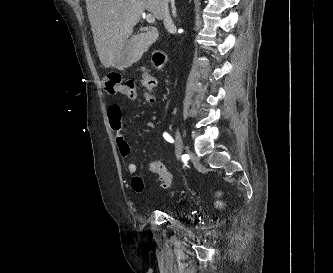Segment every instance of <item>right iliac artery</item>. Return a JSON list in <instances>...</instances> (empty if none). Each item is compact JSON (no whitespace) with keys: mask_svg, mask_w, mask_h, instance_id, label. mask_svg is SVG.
Segmentation results:
<instances>
[{"mask_svg":"<svg viewBox=\"0 0 333 273\" xmlns=\"http://www.w3.org/2000/svg\"><path fill=\"white\" fill-rule=\"evenodd\" d=\"M163 137H164L165 140H167L170 143L174 142L173 138L166 132H164Z\"/></svg>","mask_w":333,"mask_h":273,"instance_id":"obj_1","label":"right iliac artery"}]
</instances>
